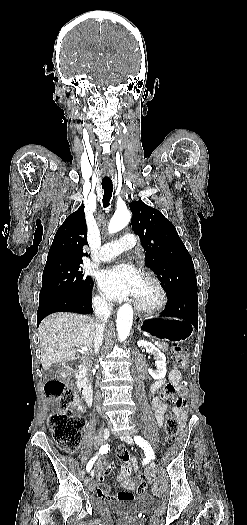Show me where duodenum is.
I'll list each match as a JSON object with an SVG mask.
<instances>
[{
	"label": "duodenum",
	"instance_id": "obj_1",
	"mask_svg": "<svg viewBox=\"0 0 247 525\" xmlns=\"http://www.w3.org/2000/svg\"><path fill=\"white\" fill-rule=\"evenodd\" d=\"M70 368L74 373L77 386L85 400L90 406L93 402V391L89 380L86 377V364L81 359H76L70 363Z\"/></svg>",
	"mask_w": 247,
	"mask_h": 525
}]
</instances>
